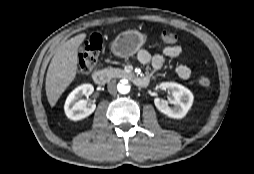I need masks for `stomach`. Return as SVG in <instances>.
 <instances>
[{
  "label": "stomach",
  "instance_id": "1",
  "mask_svg": "<svg viewBox=\"0 0 254 174\" xmlns=\"http://www.w3.org/2000/svg\"><path fill=\"white\" fill-rule=\"evenodd\" d=\"M147 36L137 30L120 33L112 42L111 51L115 56L126 58L134 55L146 42Z\"/></svg>",
  "mask_w": 254,
  "mask_h": 174
}]
</instances>
